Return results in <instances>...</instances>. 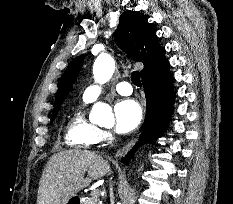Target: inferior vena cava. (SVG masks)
Listing matches in <instances>:
<instances>
[{
    "mask_svg": "<svg viewBox=\"0 0 233 204\" xmlns=\"http://www.w3.org/2000/svg\"><path fill=\"white\" fill-rule=\"evenodd\" d=\"M113 198V194H112V192H111V199Z\"/></svg>",
    "mask_w": 233,
    "mask_h": 204,
    "instance_id": "1",
    "label": "inferior vena cava"
}]
</instances>
